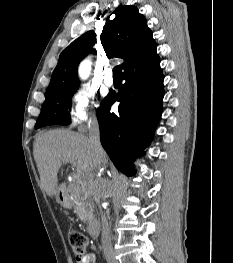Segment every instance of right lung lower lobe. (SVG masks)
<instances>
[{
    "instance_id": "1",
    "label": "right lung lower lobe",
    "mask_w": 233,
    "mask_h": 263,
    "mask_svg": "<svg viewBox=\"0 0 233 263\" xmlns=\"http://www.w3.org/2000/svg\"><path fill=\"white\" fill-rule=\"evenodd\" d=\"M117 95H108L98 109L100 140L114 165L127 176L134 175L133 162L144 154L158 124L164 95L160 60L123 74ZM120 102L118 113L110 106Z\"/></svg>"
}]
</instances>
